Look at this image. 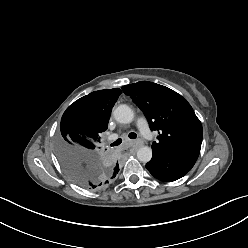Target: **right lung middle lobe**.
<instances>
[{
    "mask_svg": "<svg viewBox=\"0 0 248 248\" xmlns=\"http://www.w3.org/2000/svg\"><path fill=\"white\" fill-rule=\"evenodd\" d=\"M70 139L75 140L70 131L61 130L58 134V155L66 174L84 188H105L115 177L99 159L65 148L64 143ZM62 151L67 152V156Z\"/></svg>",
    "mask_w": 248,
    "mask_h": 248,
    "instance_id": "right-lung-middle-lobe-1",
    "label": "right lung middle lobe"
}]
</instances>
